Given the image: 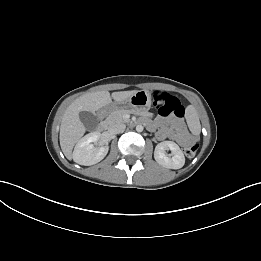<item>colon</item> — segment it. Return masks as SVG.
Returning a JSON list of instances; mask_svg holds the SVG:
<instances>
[{"instance_id":"colon-1","label":"colon","mask_w":261,"mask_h":261,"mask_svg":"<svg viewBox=\"0 0 261 261\" xmlns=\"http://www.w3.org/2000/svg\"><path fill=\"white\" fill-rule=\"evenodd\" d=\"M153 103L157 111L163 116L174 115L180 118L184 115V108L180 104L179 100L166 92H155L153 94ZM197 150L198 145L193 144L187 146L184 149V152L186 156L193 157Z\"/></svg>"}]
</instances>
